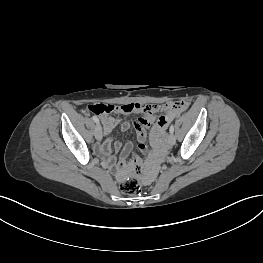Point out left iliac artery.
Here are the masks:
<instances>
[{
    "label": "left iliac artery",
    "instance_id": "obj_1",
    "mask_svg": "<svg viewBox=\"0 0 263 263\" xmlns=\"http://www.w3.org/2000/svg\"><path fill=\"white\" fill-rule=\"evenodd\" d=\"M169 131H170V133H174V126H173V124L170 126V129H169Z\"/></svg>",
    "mask_w": 263,
    "mask_h": 263
}]
</instances>
